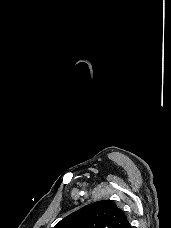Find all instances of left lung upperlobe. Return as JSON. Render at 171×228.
Segmentation results:
<instances>
[{"mask_svg":"<svg viewBox=\"0 0 171 228\" xmlns=\"http://www.w3.org/2000/svg\"><path fill=\"white\" fill-rule=\"evenodd\" d=\"M128 219L113 201L86 205L63 218L54 228H122Z\"/></svg>","mask_w":171,"mask_h":228,"instance_id":"left-lung-upper-lobe-1","label":"left lung upper lobe"}]
</instances>
